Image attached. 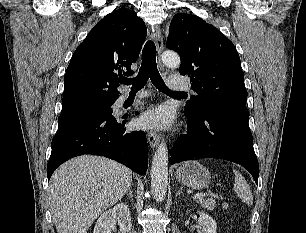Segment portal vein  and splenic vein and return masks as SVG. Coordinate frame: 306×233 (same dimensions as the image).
Masks as SVG:
<instances>
[{"instance_id":"1","label":"portal vein and splenic vein","mask_w":306,"mask_h":233,"mask_svg":"<svg viewBox=\"0 0 306 233\" xmlns=\"http://www.w3.org/2000/svg\"><path fill=\"white\" fill-rule=\"evenodd\" d=\"M207 195H212V196H214V194H213L212 192H209L208 194L198 193V194L193 195V199H199V198L204 197V196H207Z\"/></svg>"}]
</instances>
